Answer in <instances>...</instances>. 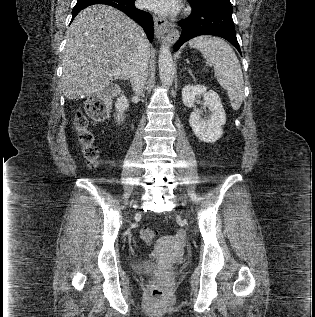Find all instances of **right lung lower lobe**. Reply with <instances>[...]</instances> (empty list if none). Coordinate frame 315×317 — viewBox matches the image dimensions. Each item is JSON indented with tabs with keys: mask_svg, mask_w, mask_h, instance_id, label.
<instances>
[{
	"mask_svg": "<svg viewBox=\"0 0 315 317\" xmlns=\"http://www.w3.org/2000/svg\"><path fill=\"white\" fill-rule=\"evenodd\" d=\"M135 0H77L75 7L72 10V19L84 8L94 4H105L113 6L130 18L139 23L145 30L147 37L150 42L153 41V18L152 16L144 11L137 9L134 6Z\"/></svg>",
	"mask_w": 315,
	"mask_h": 317,
	"instance_id": "obj_1",
	"label": "right lung lower lobe"
}]
</instances>
